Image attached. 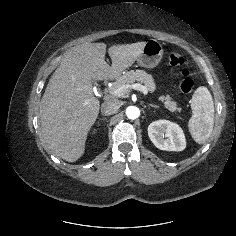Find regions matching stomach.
Wrapping results in <instances>:
<instances>
[{
  "label": "stomach",
  "instance_id": "0dacf381",
  "mask_svg": "<svg viewBox=\"0 0 236 236\" xmlns=\"http://www.w3.org/2000/svg\"><path fill=\"white\" fill-rule=\"evenodd\" d=\"M162 56V45L157 40L151 39L145 43L142 53L137 58V63L145 68H153L159 64Z\"/></svg>",
  "mask_w": 236,
  "mask_h": 236
}]
</instances>
